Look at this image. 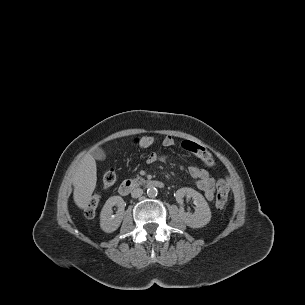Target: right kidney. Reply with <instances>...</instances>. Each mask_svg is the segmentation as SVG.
<instances>
[{"mask_svg": "<svg viewBox=\"0 0 305 305\" xmlns=\"http://www.w3.org/2000/svg\"><path fill=\"white\" fill-rule=\"evenodd\" d=\"M113 206L118 208L115 215L112 211ZM125 206L126 204L120 196H112L105 202L100 214V227L104 232L111 233L119 228Z\"/></svg>", "mask_w": 305, "mask_h": 305, "instance_id": "1", "label": "right kidney"}]
</instances>
